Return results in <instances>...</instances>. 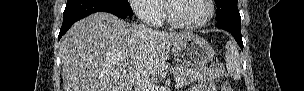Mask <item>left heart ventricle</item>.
Instances as JSON below:
<instances>
[{
  "instance_id": "b2bd125f",
  "label": "left heart ventricle",
  "mask_w": 304,
  "mask_h": 91,
  "mask_svg": "<svg viewBox=\"0 0 304 91\" xmlns=\"http://www.w3.org/2000/svg\"><path fill=\"white\" fill-rule=\"evenodd\" d=\"M208 14L205 0H179L173 3L174 17L186 24L201 22Z\"/></svg>"
}]
</instances>
